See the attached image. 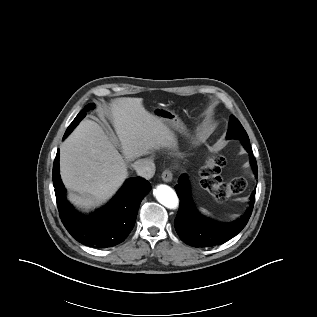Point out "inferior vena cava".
I'll return each instance as SVG.
<instances>
[{"label":"inferior vena cava","mask_w":317,"mask_h":317,"mask_svg":"<svg viewBox=\"0 0 317 317\" xmlns=\"http://www.w3.org/2000/svg\"><path fill=\"white\" fill-rule=\"evenodd\" d=\"M137 174L145 179H151L155 174V164L152 159H139L132 164Z\"/></svg>","instance_id":"obj_1"}]
</instances>
